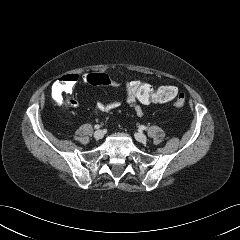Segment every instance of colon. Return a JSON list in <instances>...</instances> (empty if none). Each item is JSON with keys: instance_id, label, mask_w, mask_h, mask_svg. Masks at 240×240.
<instances>
[{"instance_id": "colon-1", "label": "colon", "mask_w": 240, "mask_h": 240, "mask_svg": "<svg viewBox=\"0 0 240 240\" xmlns=\"http://www.w3.org/2000/svg\"><path fill=\"white\" fill-rule=\"evenodd\" d=\"M75 81L76 79L73 76L63 77L57 80L52 87L54 99L60 103L66 99L71 93ZM85 81L96 86L120 85L104 73H91L85 77ZM124 86L132 98L141 105L171 102L173 107L182 108L186 103L185 94L179 92L173 85H161L156 87L143 80L134 79L126 82Z\"/></svg>"}]
</instances>
